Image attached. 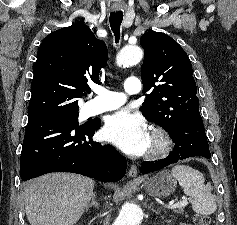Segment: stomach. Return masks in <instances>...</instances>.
Instances as JSON below:
<instances>
[{
	"instance_id": "0dacf381",
	"label": "stomach",
	"mask_w": 237,
	"mask_h": 225,
	"mask_svg": "<svg viewBox=\"0 0 237 225\" xmlns=\"http://www.w3.org/2000/svg\"><path fill=\"white\" fill-rule=\"evenodd\" d=\"M176 185V178L167 170L143 180L145 190L149 194L161 198L170 196L175 191Z\"/></svg>"
}]
</instances>
